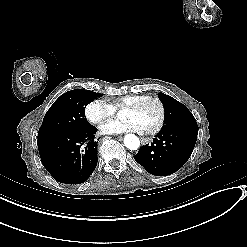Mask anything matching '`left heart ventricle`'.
I'll return each instance as SVG.
<instances>
[{"label": "left heart ventricle", "instance_id": "b2bd125f", "mask_svg": "<svg viewBox=\"0 0 247 247\" xmlns=\"http://www.w3.org/2000/svg\"><path fill=\"white\" fill-rule=\"evenodd\" d=\"M123 118H135L140 123L144 132L153 130L160 116V107L155 101H146L138 110L124 109L122 110Z\"/></svg>", "mask_w": 247, "mask_h": 247}]
</instances>
